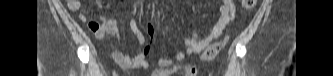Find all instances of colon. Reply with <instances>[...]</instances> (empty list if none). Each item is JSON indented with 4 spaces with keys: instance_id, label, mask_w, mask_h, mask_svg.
Returning a JSON list of instances; mask_svg holds the SVG:
<instances>
[{
    "instance_id": "obj_1",
    "label": "colon",
    "mask_w": 333,
    "mask_h": 76,
    "mask_svg": "<svg viewBox=\"0 0 333 76\" xmlns=\"http://www.w3.org/2000/svg\"><path fill=\"white\" fill-rule=\"evenodd\" d=\"M256 0H242L241 5L244 9H252L255 6ZM228 38L225 37L222 40L214 43L213 45L209 46L201 55V59L203 61H211L216 58L219 52L223 49L226 45Z\"/></svg>"
}]
</instances>
